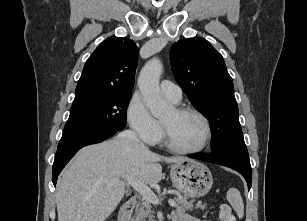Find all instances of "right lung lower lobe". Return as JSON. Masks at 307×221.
Returning a JSON list of instances; mask_svg holds the SVG:
<instances>
[{
	"label": "right lung lower lobe",
	"mask_w": 307,
	"mask_h": 221,
	"mask_svg": "<svg viewBox=\"0 0 307 221\" xmlns=\"http://www.w3.org/2000/svg\"><path fill=\"white\" fill-rule=\"evenodd\" d=\"M116 132L117 131L86 137L68 145L58 147L53 163L52 182L54 186L56 185V181L61 170L65 167V165L70 161V159L77 153L79 149L86 145L100 143L114 135Z\"/></svg>",
	"instance_id": "obj_1"
}]
</instances>
